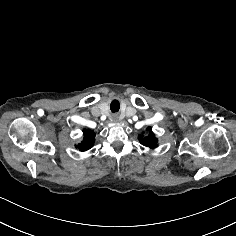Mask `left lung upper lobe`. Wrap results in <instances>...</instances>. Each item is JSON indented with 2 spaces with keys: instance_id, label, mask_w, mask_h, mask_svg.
I'll list each match as a JSON object with an SVG mask.
<instances>
[{
  "instance_id": "obj_1",
  "label": "left lung upper lobe",
  "mask_w": 236,
  "mask_h": 236,
  "mask_svg": "<svg viewBox=\"0 0 236 236\" xmlns=\"http://www.w3.org/2000/svg\"><path fill=\"white\" fill-rule=\"evenodd\" d=\"M138 139L142 145L151 149H154L158 146V140L155 138L151 127L147 128L146 135H139Z\"/></svg>"
}]
</instances>
